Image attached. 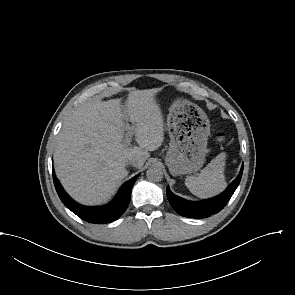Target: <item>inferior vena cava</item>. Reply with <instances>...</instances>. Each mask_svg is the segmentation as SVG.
<instances>
[{"mask_svg": "<svg viewBox=\"0 0 295 295\" xmlns=\"http://www.w3.org/2000/svg\"><path fill=\"white\" fill-rule=\"evenodd\" d=\"M128 162L129 164H132L133 166L137 167L140 163H141V160L139 157H137L136 155H133V154H130L128 156Z\"/></svg>", "mask_w": 295, "mask_h": 295, "instance_id": "602c4592", "label": "inferior vena cava"}]
</instances>
